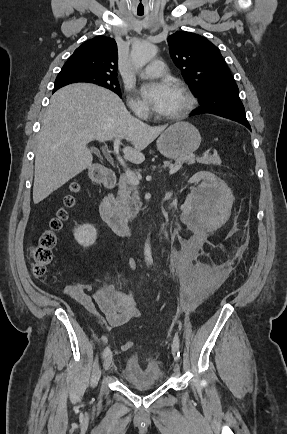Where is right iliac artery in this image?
<instances>
[{
    "mask_svg": "<svg viewBox=\"0 0 287 434\" xmlns=\"http://www.w3.org/2000/svg\"><path fill=\"white\" fill-rule=\"evenodd\" d=\"M110 353V349L106 347L103 351V357H106Z\"/></svg>",
    "mask_w": 287,
    "mask_h": 434,
    "instance_id": "1",
    "label": "right iliac artery"
}]
</instances>
